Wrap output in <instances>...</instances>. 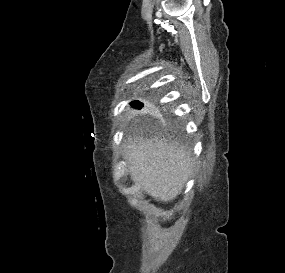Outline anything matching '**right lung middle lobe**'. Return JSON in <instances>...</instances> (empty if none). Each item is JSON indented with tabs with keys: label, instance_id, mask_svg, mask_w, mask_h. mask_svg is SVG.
Instances as JSON below:
<instances>
[{
	"label": "right lung middle lobe",
	"instance_id": "right-lung-middle-lobe-1",
	"mask_svg": "<svg viewBox=\"0 0 285 273\" xmlns=\"http://www.w3.org/2000/svg\"><path fill=\"white\" fill-rule=\"evenodd\" d=\"M131 105H132V107H136L138 109L141 108V105L139 104V102H132Z\"/></svg>",
	"mask_w": 285,
	"mask_h": 273
}]
</instances>
